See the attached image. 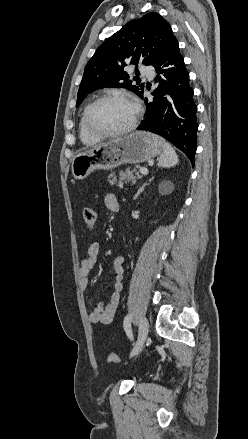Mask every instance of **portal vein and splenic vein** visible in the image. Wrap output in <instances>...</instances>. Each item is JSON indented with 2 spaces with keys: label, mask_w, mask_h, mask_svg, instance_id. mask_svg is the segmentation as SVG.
Segmentation results:
<instances>
[{
  "label": "portal vein and splenic vein",
  "mask_w": 248,
  "mask_h": 439,
  "mask_svg": "<svg viewBox=\"0 0 248 439\" xmlns=\"http://www.w3.org/2000/svg\"><path fill=\"white\" fill-rule=\"evenodd\" d=\"M139 171L143 175H147L148 174V169L147 168H140Z\"/></svg>",
  "instance_id": "1"
}]
</instances>
